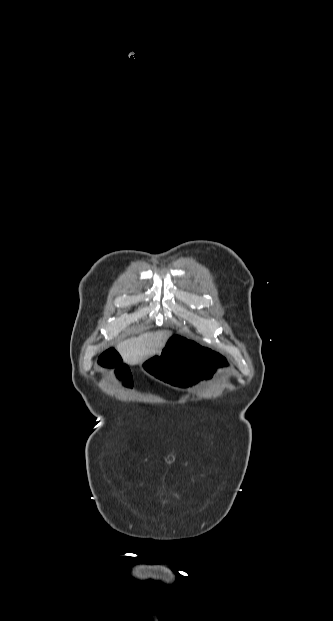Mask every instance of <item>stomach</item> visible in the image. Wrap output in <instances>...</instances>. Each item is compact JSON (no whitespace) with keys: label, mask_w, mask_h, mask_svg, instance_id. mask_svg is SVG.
<instances>
[{"label":"stomach","mask_w":333,"mask_h":621,"mask_svg":"<svg viewBox=\"0 0 333 621\" xmlns=\"http://www.w3.org/2000/svg\"><path fill=\"white\" fill-rule=\"evenodd\" d=\"M220 359L215 347L208 341L171 334L163 348L151 352L140 367L147 370L148 364L154 382L177 389L185 387L188 381L195 385L214 381L218 375L215 368L220 366Z\"/></svg>","instance_id":"obj_1"}]
</instances>
